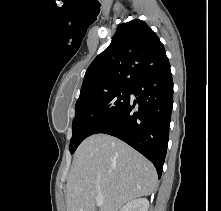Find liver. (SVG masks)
Masks as SVG:
<instances>
[{
  "mask_svg": "<svg viewBox=\"0 0 221 211\" xmlns=\"http://www.w3.org/2000/svg\"><path fill=\"white\" fill-rule=\"evenodd\" d=\"M153 164L123 141L95 134L75 152L66 185L67 211H118L157 188ZM104 203L97 205L96 196Z\"/></svg>",
  "mask_w": 221,
  "mask_h": 211,
  "instance_id": "6515ba94",
  "label": "liver"
}]
</instances>
